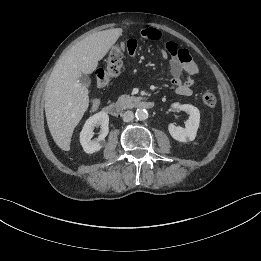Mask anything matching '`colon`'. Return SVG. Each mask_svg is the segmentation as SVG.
<instances>
[{
    "mask_svg": "<svg viewBox=\"0 0 261 261\" xmlns=\"http://www.w3.org/2000/svg\"><path fill=\"white\" fill-rule=\"evenodd\" d=\"M123 49L114 47L106 59L105 66L98 68L95 73V80L99 87L106 86L110 80L117 76L123 65ZM203 103L208 107H214L217 104V96L213 91H206L202 95Z\"/></svg>",
    "mask_w": 261,
    "mask_h": 261,
    "instance_id": "5ec220e1",
    "label": "colon"
}]
</instances>
